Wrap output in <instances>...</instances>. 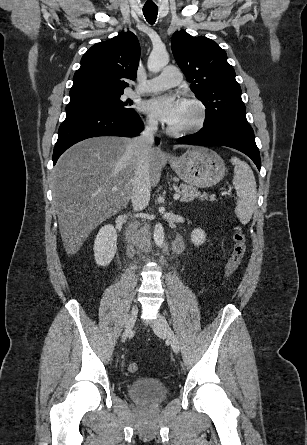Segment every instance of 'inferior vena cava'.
<instances>
[{
  "mask_svg": "<svg viewBox=\"0 0 307 445\" xmlns=\"http://www.w3.org/2000/svg\"><path fill=\"white\" fill-rule=\"evenodd\" d=\"M158 128L155 118H149L147 124L139 136L132 138L128 148L136 156L135 174L133 178V190L131 194L134 210H143L150 200V174L149 152L154 142V134Z\"/></svg>",
  "mask_w": 307,
  "mask_h": 445,
  "instance_id": "inferior-vena-cava-1",
  "label": "inferior vena cava"
}]
</instances>
